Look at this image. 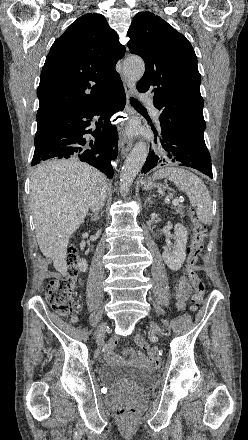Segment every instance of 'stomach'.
<instances>
[{
	"instance_id": "stomach-1",
	"label": "stomach",
	"mask_w": 248,
	"mask_h": 440,
	"mask_svg": "<svg viewBox=\"0 0 248 440\" xmlns=\"http://www.w3.org/2000/svg\"><path fill=\"white\" fill-rule=\"evenodd\" d=\"M141 185H142L144 190H151V189H153L155 187H159V185L154 183L151 179H146V180L142 181Z\"/></svg>"
}]
</instances>
